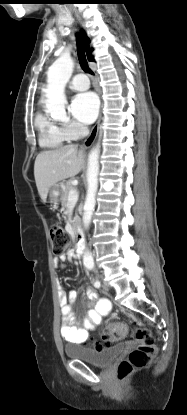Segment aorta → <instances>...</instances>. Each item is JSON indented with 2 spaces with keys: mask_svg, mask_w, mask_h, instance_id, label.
<instances>
[{
  "mask_svg": "<svg viewBox=\"0 0 187 415\" xmlns=\"http://www.w3.org/2000/svg\"><path fill=\"white\" fill-rule=\"evenodd\" d=\"M73 68L74 62L69 56H60L47 71L46 109L52 118H66L65 105L67 100L64 90L67 82L72 75ZM99 154L100 149L98 146H96L90 151L88 156V188L83 212V225L86 229L91 223L96 204L99 174ZM84 263L88 265H92L94 263L91 253L86 252L84 254Z\"/></svg>",
  "mask_w": 187,
  "mask_h": 415,
  "instance_id": "762f6f07",
  "label": "aorta"
}]
</instances>
